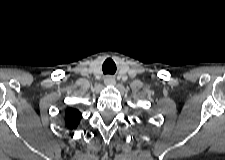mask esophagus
<instances>
[{
  "label": "esophagus",
  "instance_id": "obj_1",
  "mask_svg": "<svg viewBox=\"0 0 225 160\" xmlns=\"http://www.w3.org/2000/svg\"><path fill=\"white\" fill-rule=\"evenodd\" d=\"M105 85H113L115 84V79L112 76H106L104 79Z\"/></svg>",
  "mask_w": 225,
  "mask_h": 160
}]
</instances>
